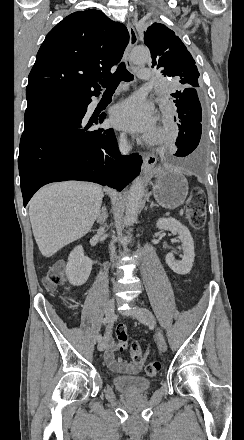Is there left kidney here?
<instances>
[{"instance_id":"left-kidney-1","label":"left kidney","mask_w":244,"mask_h":440,"mask_svg":"<svg viewBox=\"0 0 244 440\" xmlns=\"http://www.w3.org/2000/svg\"><path fill=\"white\" fill-rule=\"evenodd\" d=\"M156 226L158 230H168V232H172V234H178L183 248V256H180L182 260H175L173 254H166V264H168L169 268H171L173 272H176V274H181V276L189 274L193 266L195 252L193 238L188 228L182 226L175 218H159Z\"/></svg>"}]
</instances>
